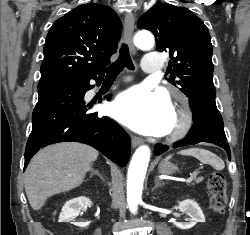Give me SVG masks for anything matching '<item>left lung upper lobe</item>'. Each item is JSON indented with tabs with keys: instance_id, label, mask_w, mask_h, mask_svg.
I'll return each instance as SVG.
<instances>
[{
	"instance_id": "left-lung-upper-lobe-1",
	"label": "left lung upper lobe",
	"mask_w": 250,
	"mask_h": 235,
	"mask_svg": "<svg viewBox=\"0 0 250 235\" xmlns=\"http://www.w3.org/2000/svg\"><path fill=\"white\" fill-rule=\"evenodd\" d=\"M150 30L159 52H169V82L187 97L215 91L213 84L212 44L203 21L184 7L155 4L137 23Z\"/></svg>"
}]
</instances>
